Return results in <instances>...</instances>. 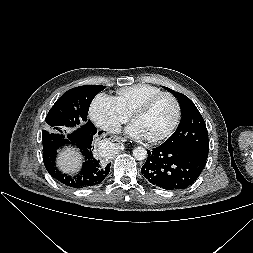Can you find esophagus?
I'll list each match as a JSON object with an SVG mask.
<instances>
[{
    "label": "esophagus",
    "mask_w": 253,
    "mask_h": 253,
    "mask_svg": "<svg viewBox=\"0 0 253 253\" xmlns=\"http://www.w3.org/2000/svg\"><path fill=\"white\" fill-rule=\"evenodd\" d=\"M114 141L120 143V142H122V139L120 137H116V138H114Z\"/></svg>",
    "instance_id": "esophagus-1"
}]
</instances>
